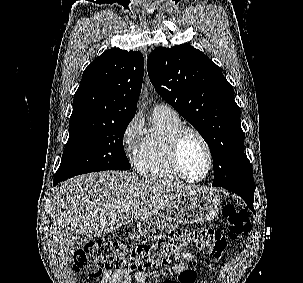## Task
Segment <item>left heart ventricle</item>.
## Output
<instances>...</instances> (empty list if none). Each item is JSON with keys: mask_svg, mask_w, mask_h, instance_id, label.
I'll return each mask as SVG.
<instances>
[{"mask_svg": "<svg viewBox=\"0 0 303 283\" xmlns=\"http://www.w3.org/2000/svg\"><path fill=\"white\" fill-rule=\"evenodd\" d=\"M181 162L186 174L197 179L204 175L207 169V154L200 140L193 134H188L181 146Z\"/></svg>", "mask_w": 303, "mask_h": 283, "instance_id": "obj_1", "label": "left heart ventricle"}]
</instances>
